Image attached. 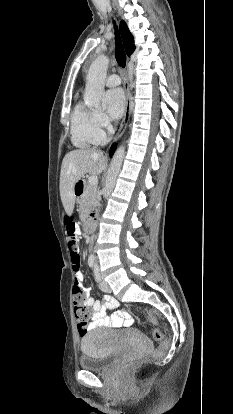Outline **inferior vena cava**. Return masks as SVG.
<instances>
[{"mask_svg":"<svg viewBox=\"0 0 233 414\" xmlns=\"http://www.w3.org/2000/svg\"><path fill=\"white\" fill-rule=\"evenodd\" d=\"M90 238H92L91 240L93 241V238H95V233H90Z\"/></svg>","mask_w":233,"mask_h":414,"instance_id":"1","label":"inferior vena cava"}]
</instances>
